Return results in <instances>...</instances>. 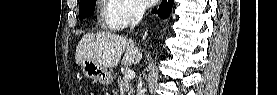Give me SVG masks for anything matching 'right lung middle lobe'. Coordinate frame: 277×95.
Wrapping results in <instances>:
<instances>
[{
  "mask_svg": "<svg viewBox=\"0 0 277 95\" xmlns=\"http://www.w3.org/2000/svg\"><path fill=\"white\" fill-rule=\"evenodd\" d=\"M96 0H83L79 5V19L83 20L94 13Z\"/></svg>",
  "mask_w": 277,
  "mask_h": 95,
  "instance_id": "right-lung-middle-lobe-1",
  "label": "right lung middle lobe"
}]
</instances>
